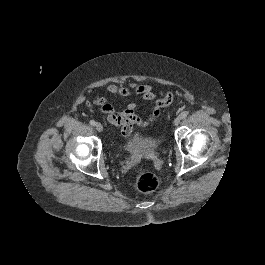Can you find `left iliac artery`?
Here are the masks:
<instances>
[{"instance_id": "obj_1", "label": "left iliac artery", "mask_w": 265, "mask_h": 265, "mask_svg": "<svg viewBox=\"0 0 265 265\" xmlns=\"http://www.w3.org/2000/svg\"><path fill=\"white\" fill-rule=\"evenodd\" d=\"M180 117H181L182 119L186 118V117H187V113H186V112L181 113V114H180Z\"/></svg>"}]
</instances>
